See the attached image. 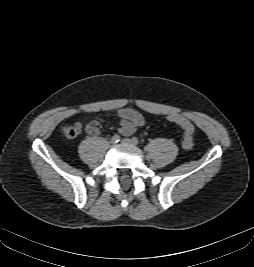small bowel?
I'll list each match as a JSON object with an SVG mask.
<instances>
[{
	"label": "small bowel",
	"mask_w": 254,
	"mask_h": 267,
	"mask_svg": "<svg viewBox=\"0 0 254 267\" xmlns=\"http://www.w3.org/2000/svg\"><path fill=\"white\" fill-rule=\"evenodd\" d=\"M115 114L120 118V126L118 132L123 136L132 135L139 127L143 126L145 119L142 114L132 108H121L115 111ZM79 126V124H77ZM86 131L91 136H96L101 131V126L98 121L90 122Z\"/></svg>",
	"instance_id": "1"
}]
</instances>
